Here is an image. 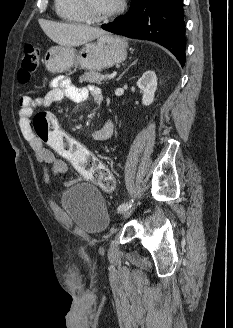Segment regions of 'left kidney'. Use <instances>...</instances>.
I'll return each instance as SVG.
<instances>
[{
  "mask_svg": "<svg viewBox=\"0 0 233 328\" xmlns=\"http://www.w3.org/2000/svg\"><path fill=\"white\" fill-rule=\"evenodd\" d=\"M137 86L143 91L142 104L149 106L154 100L157 89V76L154 71H146L137 81Z\"/></svg>",
  "mask_w": 233,
  "mask_h": 328,
  "instance_id": "1",
  "label": "left kidney"
}]
</instances>
